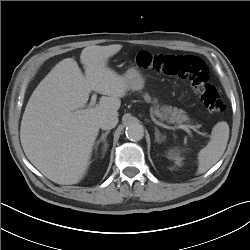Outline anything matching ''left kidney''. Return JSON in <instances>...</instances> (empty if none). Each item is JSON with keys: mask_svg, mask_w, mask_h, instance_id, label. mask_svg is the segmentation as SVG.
<instances>
[{"mask_svg": "<svg viewBox=\"0 0 250 250\" xmlns=\"http://www.w3.org/2000/svg\"><path fill=\"white\" fill-rule=\"evenodd\" d=\"M168 157L170 159H173L175 161V164L178 165V166H181L182 165V158L180 157L178 151L176 149H171L169 150L168 152Z\"/></svg>", "mask_w": 250, "mask_h": 250, "instance_id": "left-kidney-1", "label": "left kidney"}]
</instances>
